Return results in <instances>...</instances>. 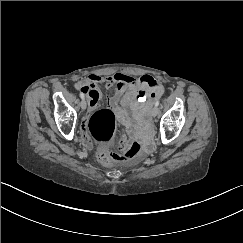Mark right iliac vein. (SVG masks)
<instances>
[{"mask_svg": "<svg viewBox=\"0 0 243 243\" xmlns=\"http://www.w3.org/2000/svg\"><path fill=\"white\" fill-rule=\"evenodd\" d=\"M80 105H81V108H82L83 110H85V109H86V106H87V103H86V101L83 99V100L81 101Z\"/></svg>", "mask_w": 243, "mask_h": 243, "instance_id": "1", "label": "right iliac vein"}]
</instances>
